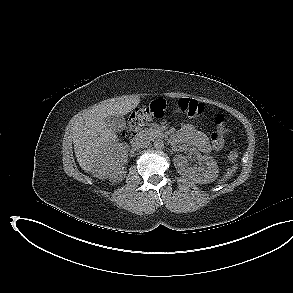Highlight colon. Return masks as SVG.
Masks as SVG:
<instances>
[{
    "label": "colon",
    "mask_w": 293,
    "mask_h": 293,
    "mask_svg": "<svg viewBox=\"0 0 293 293\" xmlns=\"http://www.w3.org/2000/svg\"><path fill=\"white\" fill-rule=\"evenodd\" d=\"M179 108L189 117H198L203 113L204 107L194 99L183 98L179 101ZM166 103L163 100H155L148 106L136 109L129 117L128 127L125 134L133 137L144 126L145 123L152 119L162 118L166 113ZM216 131L211 136L212 145L215 148H221L224 145V138L228 132V120L222 114L214 116ZM229 160L236 162L238 160V151L233 149L229 153Z\"/></svg>",
    "instance_id": "colon-1"
}]
</instances>
